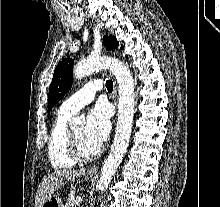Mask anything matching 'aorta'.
I'll return each mask as SVG.
<instances>
[{
    "instance_id": "1",
    "label": "aorta",
    "mask_w": 220,
    "mask_h": 207,
    "mask_svg": "<svg viewBox=\"0 0 220 207\" xmlns=\"http://www.w3.org/2000/svg\"><path fill=\"white\" fill-rule=\"evenodd\" d=\"M100 69H109L117 79L119 88L118 118L115 137L111 145L110 153L101 168L100 178L97 184L98 190L103 194L108 188L117 168L122 162L127 150L134 116L135 86L134 79L129 69L123 62L113 57H90L79 62L74 68V76L82 79ZM85 119L76 117L72 125H83Z\"/></svg>"
}]
</instances>
